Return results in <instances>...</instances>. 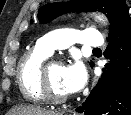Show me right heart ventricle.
Segmentation results:
<instances>
[{"mask_svg": "<svg viewBox=\"0 0 131 115\" xmlns=\"http://www.w3.org/2000/svg\"><path fill=\"white\" fill-rule=\"evenodd\" d=\"M48 57L49 54L36 45L20 58L17 67V83L23 98L29 102L45 101L39 89V71Z\"/></svg>", "mask_w": 131, "mask_h": 115, "instance_id": "right-heart-ventricle-1", "label": "right heart ventricle"}]
</instances>
